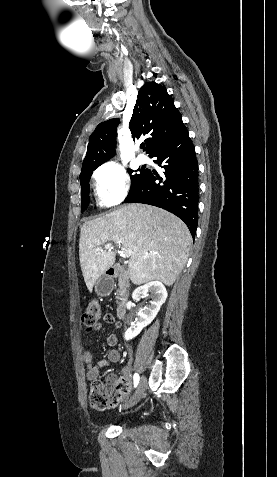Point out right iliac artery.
<instances>
[{
	"label": "right iliac artery",
	"mask_w": 277,
	"mask_h": 477,
	"mask_svg": "<svg viewBox=\"0 0 277 477\" xmlns=\"http://www.w3.org/2000/svg\"><path fill=\"white\" fill-rule=\"evenodd\" d=\"M139 383V375L137 373L134 374V387H136Z\"/></svg>",
	"instance_id": "1"
}]
</instances>
